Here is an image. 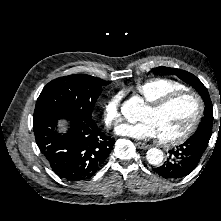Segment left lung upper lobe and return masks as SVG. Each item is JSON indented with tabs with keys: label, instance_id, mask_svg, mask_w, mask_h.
<instances>
[{
	"label": "left lung upper lobe",
	"instance_id": "5c2ea615",
	"mask_svg": "<svg viewBox=\"0 0 221 221\" xmlns=\"http://www.w3.org/2000/svg\"><path fill=\"white\" fill-rule=\"evenodd\" d=\"M152 71L170 75H177L180 79L184 80L186 83L195 88V90L201 95L205 103L204 117L202 118V121L199 124L196 133L211 134L213 125V107L208 90L203 85V83L193 74L176 68L157 67L152 69Z\"/></svg>",
	"mask_w": 221,
	"mask_h": 221
}]
</instances>
